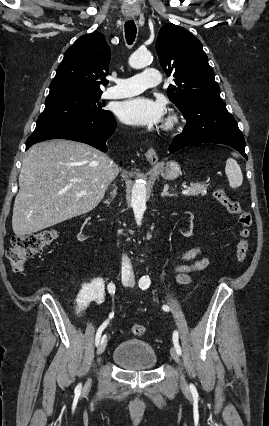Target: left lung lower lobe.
Instances as JSON below:
<instances>
[{"instance_id": "1", "label": "left lung lower lobe", "mask_w": 269, "mask_h": 426, "mask_svg": "<svg viewBox=\"0 0 269 426\" xmlns=\"http://www.w3.org/2000/svg\"><path fill=\"white\" fill-rule=\"evenodd\" d=\"M181 112L187 123L183 132L173 139L171 153L190 145L220 143L233 147L248 159L243 134L223 100H200Z\"/></svg>"}]
</instances>
